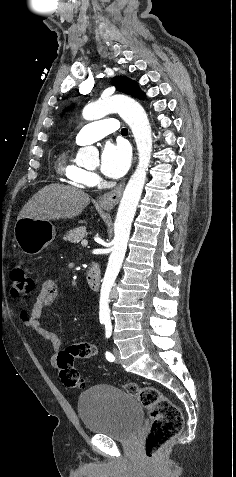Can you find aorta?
<instances>
[{
    "mask_svg": "<svg viewBox=\"0 0 236 477\" xmlns=\"http://www.w3.org/2000/svg\"><path fill=\"white\" fill-rule=\"evenodd\" d=\"M113 112H117L131 128L139 161L125 187L114 223V246L100 290L99 316L104 320L110 319V292L125 257L132 221L141 198L152 153L149 120L143 107L134 99L125 95L100 98L86 105L82 116L85 120H97ZM97 155L98 151L94 147H85L78 151V157L82 160Z\"/></svg>",
    "mask_w": 236,
    "mask_h": 477,
    "instance_id": "1",
    "label": "aorta"
}]
</instances>
